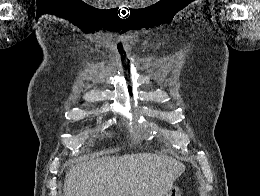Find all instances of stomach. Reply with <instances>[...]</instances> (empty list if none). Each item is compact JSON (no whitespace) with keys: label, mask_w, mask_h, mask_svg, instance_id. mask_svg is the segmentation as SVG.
Segmentation results:
<instances>
[{"label":"stomach","mask_w":260,"mask_h":196,"mask_svg":"<svg viewBox=\"0 0 260 196\" xmlns=\"http://www.w3.org/2000/svg\"><path fill=\"white\" fill-rule=\"evenodd\" d=\"M161 196H183L182 187H169V191L162 193Z\"/></svg>","instance_id":"stomach-1"}]
</instances>
